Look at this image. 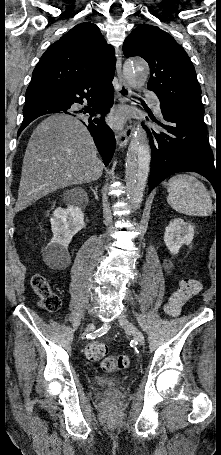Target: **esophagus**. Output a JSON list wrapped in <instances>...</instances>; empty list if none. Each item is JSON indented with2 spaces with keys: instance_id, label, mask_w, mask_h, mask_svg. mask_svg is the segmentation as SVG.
<instances>
[{
  "instance_id": "esophagus-1",
  "label": "esophagus",
  "mask_w": 221,
  "mask_h": 455,
  "mask_svg": "<svg viewBox=\"0 0 221 455\" xmlns=\"http://www.w3.org/2000/svg\"><path fill=\"white\" fill-rule=\"evenodd\" d=\"M120 55L117 59L116 71L119 81V87L116 92V101L120 104L127 103L129 101L130 90L127 85V82L122 73V57L121 50L119 51ZM133 127L131 124H127L124 129L117 130L115 132V138L119 149H124L132 136Z\"/></svg>"
}]
</instances>
